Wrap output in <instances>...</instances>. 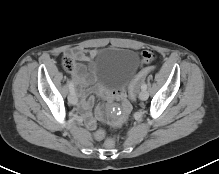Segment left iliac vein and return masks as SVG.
Instances as JSON below:
<instances>
[{"mask_svg": "<svg viewBox=\"0 0 219 174\" xmlns=\"http://www.w3.org/2000/svg\"><path fill=\"white\" fill-rule=\"evenodd\" d=\"M148 98V93H147V91L146 90H141L140 92H139V99L140 100H146Z\"/></svg>", "mask_w": 219, "mask_h": 174, "instance_id": "left-iliac-vein-1", "label": "left iliac vein"}]
</instances>
